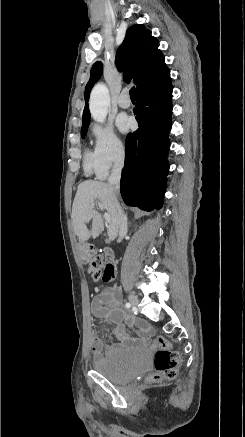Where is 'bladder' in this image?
Masks as SVG:
<instances>
[{
  "label": "bladder",
  "instance_id": "obj_1",
  "mask_svg": "<svg viewBox=\"0 0 245 437\" xmlns=\"http://www.w3.org/2000/svg\"><path fill=\"white\" fill-rule=\"evenodd\" d=\"M151 361L148 349L114 348L93 362V369L115 383H126L147 370Z\"/></svg>",
  "mask_w": 245,
  "mask_h": 437
}]
</instances>
